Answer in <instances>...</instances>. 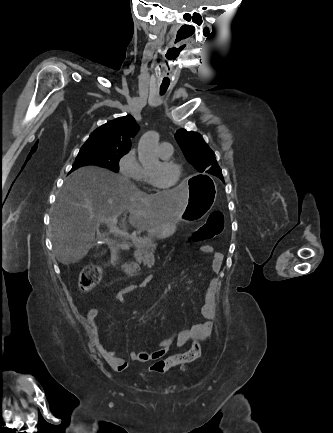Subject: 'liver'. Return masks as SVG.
I'll list each match as a JSON object with an SVG mask.
<instances>
[{
	"label": "liver",
	"instance_id": "liver-1",
	"mask_svg": "<svg viewBox=\"0 0 333 433\" xmlns=\"http://www.w3.org/2000/svg\"><path fill=\"white\" fill-rule=\"evenodd\" d=\"M175 189L177 192L149 195L108 169L85 166L75 170L66 178L51 216L58 261L66 265L79 262L95 245L99 226L122 214H130L128 222L133 228L148 233L161 231L182 215L183 201H189L184 183H177ZM120 227L127 230L126 217Z\"/></svg>",
	"mask_w": 333,
	"mask_h": 433
}]
</instances>
